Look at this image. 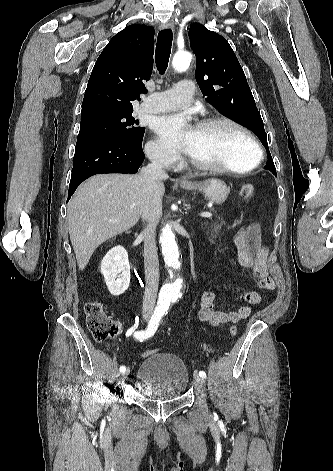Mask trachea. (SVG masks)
I'll return each instance as SVG.
<instances>
[{"mask_svg":"<svg viewBox=\"0 0 333 471\" xmlns=\"http://www.w3.org/2000/svg\"><path fill=\"white\" fill-rule=\"evenodd\" d=\"M172 46V30L164 29L158 33L157 45L155 51V60L157 70L164 74L169 62Z\"/></svg>","mask_w":333,"mask_h":471,"instance_id":"obj_1","label":"trachea"}]
</instances>
